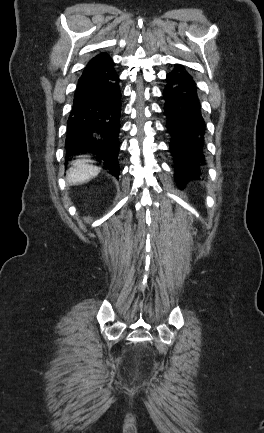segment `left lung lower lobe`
I'll use <instances>...</instances> for the list:
<instances>
[{
    "instance_id": "1",
    "label": "left lung lower lobe",
    "mask_w": 264,
    "mask_h": 433,
    "mask_svg": "<svg viewBox=\"0 0 264 433\" xmlns=\"http://www.w3.org/2000/svg\"><path fill=\"white\" fill-rule=\"evenodd\" d=\"M166 81L164 112L171 135L170 151L174 158L176 182L182 187L201 173L206 126L196 83L185 67L175 64Z\"/></svg>"
}]
</instances>
